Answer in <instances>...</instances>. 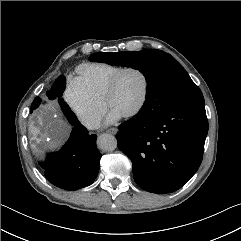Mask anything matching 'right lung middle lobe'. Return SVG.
<instances>
[{"instance_id":"1","label":"right lung middle lobe","mask_w":241,"mask_h":241,"mask_svg":"<svg viewBox=\"0 0 241 241\" xmlns=\"http://www.w3.org/2000/svg\"><path fill=\"white\" fill-rule=\"evenodd\" d=\"M65 77L64 76H59V78L54 82L51 90H49L46 94L49 97V99H55L56 97H60L65 89ZM63 113L67 117L68 121H71L70 118L75 119V114L71 111L70 107L66 104V102L63 101L62 98L58 100ZM41 104V98L36 97L31 105V110L32 112L33 109H36L39 105Z\"/></svg>"}]
</instances>
